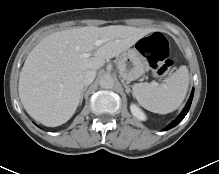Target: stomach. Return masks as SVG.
<instances>
[{
    "mask_svg": "<svg viewBox=\"0 0 219 174\" xmlns=\"http://www.w3.org/2000/svg\"><path fill=\"white\" fill-rule=\"evenodd\" d=\"M146 65L145 58L136 47H133L120 55L117 68L122 79L129 82L142 76Z\"/></svg>",
    "mask_w": 219,
    "mask_h": 174,
    "instance_id": "obj_1",
    "label": "stomach"
}]
</instances>
